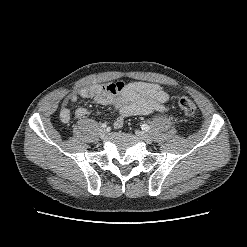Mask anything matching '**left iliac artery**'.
<instances>
[{
  "label": "left iliac artery",
  "mask_w": 247,
  "mask_h": 247,
  "mask_svg": "<svg viewBox=\"0 0 247 247\" xmlns=\"http://www.w3.org/2000/svg\"><path fill=\"white\" fill-rule=\"evenodd\" d=\"M141 128H142V130H144V131H149V129H150L149 125H147V124H142V125H141Z\"/></svg>",
  "instance_id": "44dca946"
}]
</instances>
